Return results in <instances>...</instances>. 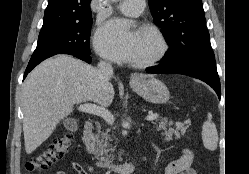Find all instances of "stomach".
I'll return each mask as SVG.
<instances>
[{
    "label": "stomach",
    "mask_w": 249,
    "mask_h": 174,
    "mask_svg": "<svg viewBox=\"0 0 249 174\" xmlns=\"http://www.w3.org/2000/svg\"><path fill=\"white\" fill-rule=\"evenodd\" d=\"M132 89L141 97L154 104L166 103L169 98V90L160 80L139 75L130 82Z\"/></svg>",
    "instance_id": "obj_1"
}]
</instances>
